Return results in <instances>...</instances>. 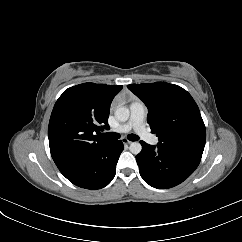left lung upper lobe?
Segmentation results:
<instances>
[{"instance_id":"obj_1","label":"left lung upper lobe","mask_w":242,"mask_h":242,"mask_svg":"<svg viewBox=\"0 0 242 242\" xmlns=\"http://www.w3.org/2000/svg\"><path fill=\"white\" fill-rule=\"evenodd\" d=\"M147 106V122L158 147L201 159L206 129L199 108L180 86L166 82L127 86Z\"/></svg>"}]
</instances>
